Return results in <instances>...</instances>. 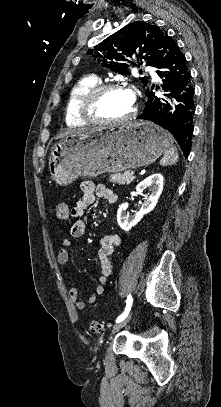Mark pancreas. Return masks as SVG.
<instances>
[{
    "mask_svg": "<svg viewBox=\"0 0 221 407\" xmlns=\"http://www.w3.org/2000/svg\"><path fill=\"white\" fill-rule=\"evenodd\" d=\"M133 180L134 176L129 171L114 173L110 176V182L118 183L119 185L130 184Z\"/></svg>",
    "mask_w": 221,
    "mask_h": 407,
    "instance_id": "1",
    "label": "pancreas"
}]
</instances>
